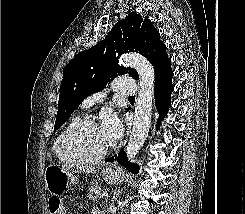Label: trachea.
Wrapping results in <instances>:
<instances>
[{"mask_svg":"<svg viewBox=\"0 0 245 214\" xmlns=\"http://www.w3.org/2000/svg\"><path fill=\"white\" fill-rule=\"evenodd\" d=\"M129 99H135V97L134 96H130Z\"/></svg>","mask_w":245,"mask_h":214,"instance_id":"trachea-1","label":"trachea"}]
</instances>
